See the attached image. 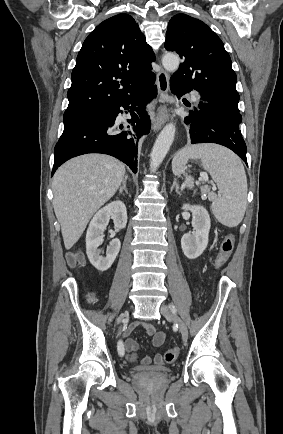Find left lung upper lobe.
Returning <instances> with one entry per match:
<instances>
[{"label":"left lung upper lobe","instance_id":"1","mask_svg":"<svg viewBox=\"0 0 283 434\" xmlns=\"http://www.w3.org/2000/svg\"><path fill=\"white\" fill-rule=\"evenodd\" d=\"M165 48L182 63L171 79L200 94V100L239 112L237 77L221 39L202 21L178 14L171 18Z\"/></svg>","mask_w":283,"mask_h":434}]
</instances>
